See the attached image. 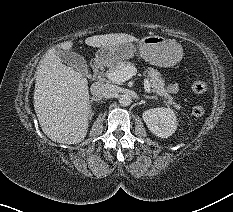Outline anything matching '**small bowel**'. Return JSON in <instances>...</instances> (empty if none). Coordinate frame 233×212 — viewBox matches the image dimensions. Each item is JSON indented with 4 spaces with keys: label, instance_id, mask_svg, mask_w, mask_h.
Masks as SVG:
<instances>
[{
    "label": "small bowel",
    "instance_id": "obj_1",
    "mask_svg": "<svg viewBox=\"0 0 233 212\" xmlns=\"http://www.w3.org/2000/svg\"><path fill=\"white\" fill-rule=\"evenodd\" d=\"M168 91H169L170 93H177V92L179 91V86H178V84H171V85H169Z\"/></svg>",
    "mask_w": 233,
    "mask_h": 212
}]
</instances>
